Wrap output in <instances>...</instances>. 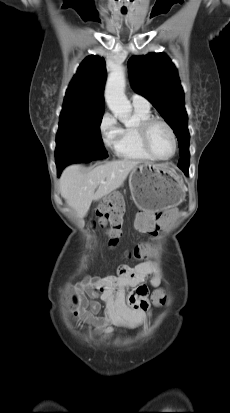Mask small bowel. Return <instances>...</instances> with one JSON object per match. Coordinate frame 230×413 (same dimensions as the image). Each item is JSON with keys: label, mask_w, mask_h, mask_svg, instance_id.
<instances>
[{"label": "small bowel", "mask_w": 230, "mask_h": 413, "mask_svg": "<svg viewBox=\"0 0 230 413\" xmlns=\"http://www.w3.org/2000/svg\"><path fill=\"white\" fill-rule=\"evenodd\" d=\"M180 212L178 205H168L164 210L151 211L139 209L138 218H134V227L140 231H165L170 227V218H175ZM156 216L152 218L151 216ZM150 276V285L155 288L151 295H164L161 289V272L156 264L144 261L131 267L121 265L116 273L102 278L85 277L70 291V304L73 312L80 318L82 324H90L94 330L106 337L114 334L115 326L136 329L150 316L149 289L144 283ZM127 288L132 291L126 296ZM101 300L104 303V316H96L101 310ZM158 306V305H156Z\"/></svg>", "instance_id": "c3829d8e"}]
</instances>
